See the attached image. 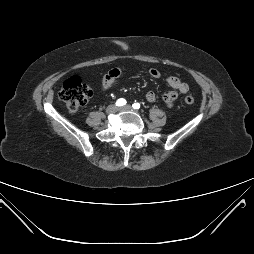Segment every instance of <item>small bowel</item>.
Wrapping results in <instances>:
<instances>
[{
    "mask_svg": "<svg viewBox=\"0 0 254 254\" xmlns=\"http://www.w3.org/2000/svg\"><path fill=\"white\" fill-rule=\"evenodd\" d=\"M148 73L152 78H155V79H158L161 76L160 71L155 68H151L148 71ZM121 75H122V71L119 68H113L109 70L102 78V81L100 83V89L102 91H107L113 86L115 81ZM166 81H167V84L172 88V90L165 93L162 96V100L167 107L171 108L174 106L175 101L178 98V95L187 93L189 90V87L185 82L181 81L178 77H175V76H169L166 79ZM145 99L148 102H154L156 100V94L153 91H149L146 93Z\"/></svg>",
    "mask_w": 254,
    "mask_h": 254,
    "instance_id": "1",
    "label": "small bowel"
}]
</instances>
